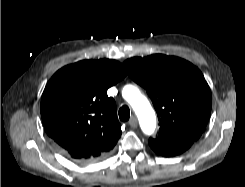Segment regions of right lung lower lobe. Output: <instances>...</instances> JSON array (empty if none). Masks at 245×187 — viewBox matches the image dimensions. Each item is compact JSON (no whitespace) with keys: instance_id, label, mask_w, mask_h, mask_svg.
I'll return each mask as SVG.
<instances>
[{"instance_id":"1","label":"right lung lower lobe","mask_w":245,"mask_h":187,"mask_svg":"<svg viewBox=\"0 0 245 187\" xmlns=\"http://www.w3.org/2000/svg\"><path fill=\"white\" fill-rule=\"evenodd\" d=\"M61 151H62V153H63L65 156H67L63 150H61ZM67 157L70 158L69 156H67ZM71 159H72V158H71ZM73 160H75V161H77V162H79V163H88L86 160H80V159H73Z\"/></svg>"}]
</instances>
